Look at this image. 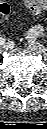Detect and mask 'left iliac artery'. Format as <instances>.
<instances>
[{
    "mask_svg": "<svg viewBox=\"0 0 47 129\" xmlns=\"http://www.w3.org/2000/svg\"><path fill=\"white\" fill-rule=\"evenodd\" d=\"M42 31H43V28L41 26H35L29 30L27 37L32 38V37L38 36L42 33Z\"/></svg>",
    "mask_w": 47,
    "mask_h": 129,
    "instance_id": "obj_1",
    "label": "left iliac artery"
}]
</instances>
